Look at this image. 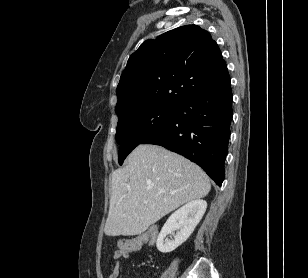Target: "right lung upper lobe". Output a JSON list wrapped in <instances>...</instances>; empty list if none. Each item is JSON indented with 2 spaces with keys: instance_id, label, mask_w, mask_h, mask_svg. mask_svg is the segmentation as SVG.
Wrapping results in <instances>:
<instances>
[{
  "instance_id": "right-lung-upper-lobe-1",
  "label": "right lung upper lobe",
  "mask_w": 308,
  "mask_h": 278,
  "mask_svg": "<svg viewBox=\"0 0 308 278\" xmlns=\"http://www.w3.org/2000/svg\"><path fill=\"white\" fill-rule=\"evenodd\" d=\"M227 65L209 32L196 25L145 41L128 62L116 93L119 121L153 106H178L222 86Z\"/></svg>"
}]
</instances>
